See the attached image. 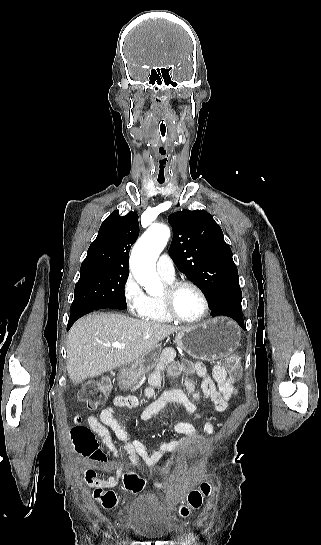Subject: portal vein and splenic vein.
<instances>
[{
  "label": "portal vein and splenic vein",
  "mask_w": 321,
  "mask_h": 545,
  "mask_svg": "<svg viewBox=\"0 0 321 545\" xmlns=\"http://www.w3.org/2000/svg\"><path fill=\"white\" fill-rule=\"evenodd\" d=\"M106 347H113V349H123L126 347L124 343H106Z\"/></svg>",
  "instance_id": "portal-vein-and-splenic-vein-1"
}]
</instances>
